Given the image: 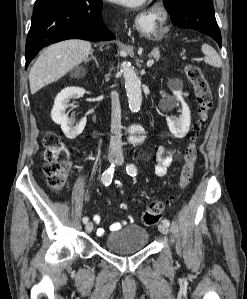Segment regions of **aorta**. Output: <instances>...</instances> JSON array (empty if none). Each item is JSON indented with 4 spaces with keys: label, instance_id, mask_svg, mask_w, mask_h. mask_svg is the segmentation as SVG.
I'll return each mask as SVG.
<instances>
[{
    "label": "aorta",
    "instance_id": "aorta-1",
    "mask_svg": "<svg viewBox=\"0 0 247 299\" xmlns=\"http://www.w3.org/2000/svg\"><path fill=\"white\" fill-rule=\"evenodd\" d=\"M121 73L125 81L129 108L132 112H138L142 104L141 81L135 70L127 63L122 64ZM129 134V141L131 143H139L144 139V129L141 126H131Z\"/></svg>",
    "mask_w": 247,
    "mask_h": 299
}]
</instances>
